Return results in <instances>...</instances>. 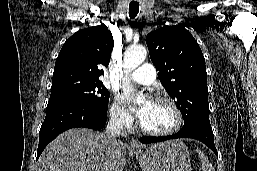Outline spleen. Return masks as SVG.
Wrapping results in <instances>:
<instances>
[{"label": "spleen", "instance_id": "1", "mask_svg": "<svg viewBox=\"0 0 257 171\" xmlns=\"http://www.w3.org/2000/svg\"><path fill=\"white\" fill-rule=\"evenodd\" d=\"M198 156L200 158V170L199 171H215L212 164L209 162V159L205 156V154L197 149Z\"/></svg>", "mask_w": 257, "mask_h": 171}]
</instances>
